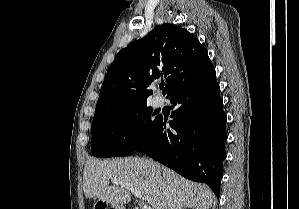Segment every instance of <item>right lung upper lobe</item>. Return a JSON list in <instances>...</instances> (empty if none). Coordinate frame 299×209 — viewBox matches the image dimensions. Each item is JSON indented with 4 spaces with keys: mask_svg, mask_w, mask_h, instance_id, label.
<instances>
[{
    "mask_svg": "<svg viewBox=\"0 0 299 209\" xmlns=\"http://www.w3.org/2000/svg\"><path fill=\"white\" fill-rule=\"evenodd\" d=\"M214 71L193 34L179 26L159 25L119 51L102 84L95 115L147 103L150 86L159 79H165L163 95H168L189 76Z\"/></svg>",
    "mask_w": 299,
    "mask_h": 209,
    "instance_id": "cb5924a9",
    "label": "right lung upper lobe"
}]
</instances>
